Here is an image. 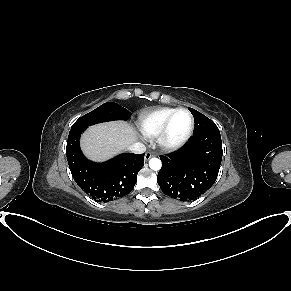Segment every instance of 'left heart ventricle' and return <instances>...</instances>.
I'll return each mask as SVG.
<instances>
[{
  "instance_id": "left-heart-ventricle-1",
  "label": "left heart ventricle",
  "mask_w": 291,
  "mask_h": 291,
  "mask_svg": "<svg viewBox=\"0 0 291 291\" xmlns=\"http://www.w3.org/2000/svg\"><path fill=\"white\" fill-rule=\"evenodd\" d=\"M190 125V117L186 112H179L172 120L169 138L177 140L182 137Z\"/></svg>"
}]
</instances>
